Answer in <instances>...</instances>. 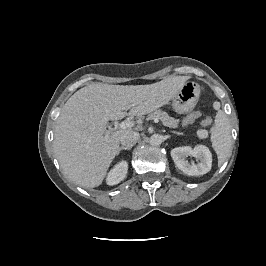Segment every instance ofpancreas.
<instances>
[{
    "instance_id": "cf45deb5",
    "label": "pancreas",
    "mask_w": 266,
    "mask_h": 266,
    "mask_svg": "<svg viewBox=\"0 0 266 266\" xmlns=\"http://www.w3.org/2000/svg\"><path fill=\"white\" fill-rule=\"evenodd\" d=\"M158 118L162 121L164 126H167L169 128H177L179 120L175 119L173 117H170L167 112L162 111V110H156L152 113H150L147 116V119L152 120Z\"/></svg>"
}]
</instances>
